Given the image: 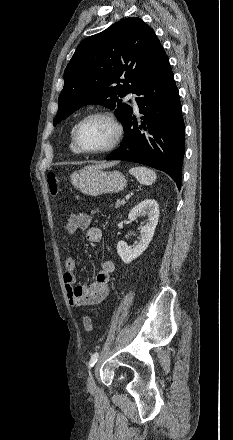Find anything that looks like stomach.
Instances as JSON below:
<instances>
[{
  "label": "stomach",
  "mask_w": 233,
  "mask_h": 440,
  "mask_svg": "<svg viewBox=\"0 0 233 440\" xmlns=\"http://www.w3.org/2000/svg\"><path fill=\"white\" fill-rule=\"evenodd\" d=\"M72 185L85 195L99 196L118 193L127 185L119 171H103L95 167H85L70 176Z\"/></svg>",
  "instance_id": "stomach-1"
}]
</instances>
